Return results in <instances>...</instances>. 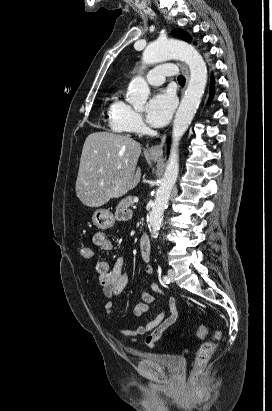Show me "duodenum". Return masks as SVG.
<instances>
[{
  "mask_svg": "<svg viewBox=\"0 0 272 411\" xmlns=\"http://www.w3.org/2000/svg\"><path fill=\"white\" fill-rule=\"evenodd\" d=\"M140 252L145 261H150L152 255L151 241L146 233H142L140 237Z\"/></svg>",
  "mask_w": 272,
  "mask_h": 411,
  "instance_id": "1",
  "label": "duodenum"
}]
</instances>
